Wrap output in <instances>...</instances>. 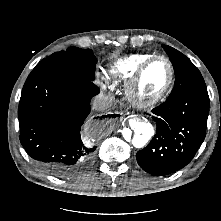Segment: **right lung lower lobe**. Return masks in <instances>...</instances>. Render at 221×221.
<instances>
[{"instance_id": "obj_1", "label": "right lung lower lobe", "mask_w": 221, "mask_h": 221, "mask_svg": "<svg viewBox=\"0 0 221 221\" xmlns=\"http://www.w3.org/2000/svg\"><path fill=\"white\" fill-rule=\"evenodd\" d=\"M99 92L93 81L53 65L29 74L18 108L20 141L41 169L70 177L92 159L96 146L86 147L80 130ZM98 123L92 121L94 128Z\"/></svg>"}]
</instances>
